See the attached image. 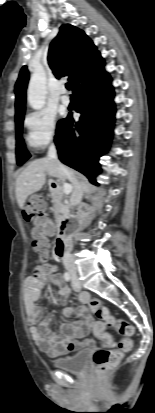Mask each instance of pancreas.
I'll return each mask as SVG.
<instances>
[{"mask_svg": "<svg viewBox=\"0 0 155 413\" xmlns=\"http://www.w3.org/2000/svg\"><path fill=\"white\" fill-rule=\"evenodd\" d=\"M52 210L55 213L56 222H61L62 219L66 218L69 214V206L64 201L63 190L61 188L51 192Z\"/></svg>", "mask_w": 155, "mask_h": 413, "instance_id": "pancreas-1", "label": "pancreas"}]
</instances>
